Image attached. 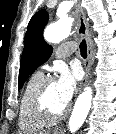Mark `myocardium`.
<instances>
[{"instance_id": "1", "label": "myocardium", "mask_w": 116, "mask_h": 134, "mask_svg": "<svg viewBox=\"0 0 116 134\" xmlns=\"http://www.w3.org/2000/svg\"><path fill=\"white\" fill-rule=\"evenodd\" d=\"M53 82H55L54 77H43L33 89L29 100L32 112L37 117L48 122L61 120L69 113V106H66L62 111H55L50 107L47 100V93Z\"/></svg>"}]
</instances>
